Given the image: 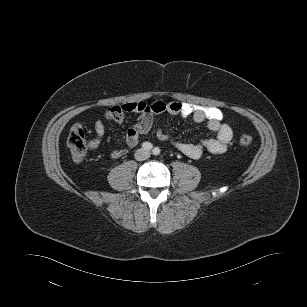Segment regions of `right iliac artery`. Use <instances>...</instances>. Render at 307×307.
<instances>
[{"label":"right iliac artery","instance_id":"right-iliac-artery-1","mask_svg":"<svg viewBox=\"0 0 307 307\" xmlns=\"http://www.w3.org/2000/svg\"><path fill=\"white\" fill-rule=\"evenodd\" d=\"M152 147H153V145H152L151 143H149V142H144V143L142 144V148H143L144 150H147V151L151 150Z\"/></svg>","mask_w":307,"mask_h":307}]
</instances>
